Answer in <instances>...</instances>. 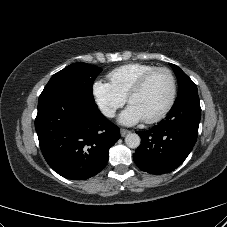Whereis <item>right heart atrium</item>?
<instances>
[{"label":"right heart atrium","mask_w":227,"mask_h":227,"mask_svg":"<svg viewBox=\"0 0 227 227\" xmlns=\"http://www.w3.org/2000/svg\"><path fill=\"white\" fill-rule=\"evenodd\" d=\"M92 94L100 111L107 117L114 116L123 106L125 97L120 95L110 83L96 80L92 85Z\"/></svg>","instance_id":"obj_1"}]
</instances>
